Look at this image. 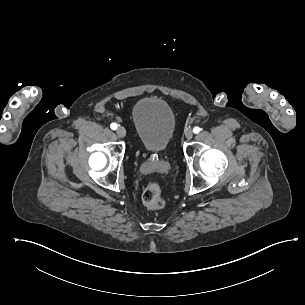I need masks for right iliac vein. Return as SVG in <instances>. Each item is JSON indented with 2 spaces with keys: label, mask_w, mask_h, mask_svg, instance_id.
I'll return each instance as SVG.
<instances>
[{
  "label": "right iliac vein",
  "mask_w": 305,
  "mask_h": 305,
  "mask_svg": "<svg viewBox=\"0 0 305 305\" xmlns=\"http://www.w3.org/2000/svg\"><path fill=\"white\" fill-rule=\"evenodd\" d=\"M116 133L120 138H124L126 136V130L124 127H119Z\"/></svg>",
  "instance_id": "1"
}]
</instances>
